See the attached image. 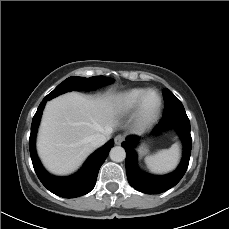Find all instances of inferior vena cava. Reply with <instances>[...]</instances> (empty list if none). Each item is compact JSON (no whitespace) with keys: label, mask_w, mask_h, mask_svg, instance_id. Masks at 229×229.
Instances as JSON below:
<instances>
[{"label":"inferior vena cava","mask_w":229,"mask_h":229,"mask_svg":"<svg viewBox=\"0 0 229 229\" xmlns=\"http://www.w3.org/2000/svg\"><path fill=\"white\" fill-rule=\"evenodd\" d=\"M106 141H107V137L105 134L97 133V134L90 137V143H91L92 147H94V148L100 147Z\"/></svg>","instance_id":"602c4592"}]
</instances>
